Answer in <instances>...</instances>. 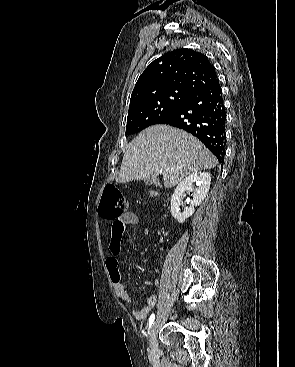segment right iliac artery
Returning a JSON list of instances; mask_svg holds the SVG:
<instances>
[{"label":"right iliac artery","mask_w":295,"mask_h":367,"mask_svg":"<svg viewBox=\"0 0 295 367\" xmlns=\"http://www.w3.org/2000/svg\"><path fill=\"white\" fill-rule=\"evenodd\" d=\"M154 319H155V314H151L150 318H149V322H148V329L151 328L153 322H154Z\"/></svg>","instance_id":"82829eb1"}]
</instances>
